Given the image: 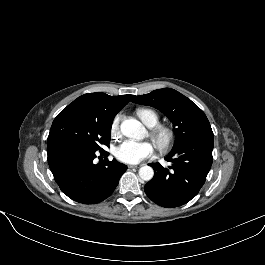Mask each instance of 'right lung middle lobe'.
I'll list each match as a JSON object with an SVG mask.
<instances>
[{
	"label": "right lung middle lobe",
	"mask_w": 265,
	"mask_h": 265,
	"mask_svg": "<svg viewBox=\"0 0 265 265\" xmlns=\"http://www.w3.org/2000/svg\"><path fill=\"white\" fill-rule=\"evenodd\" d=\"M111 122L80 111H61L52 123L47 144L73 141L101 151L102 146L109 145Z\"/></svg>",
	"instance_id": "dd1d6c3e"
}]
</instances>
